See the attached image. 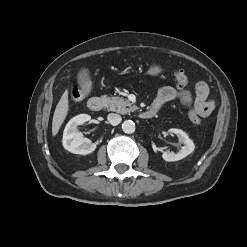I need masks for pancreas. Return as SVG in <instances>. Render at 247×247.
Segmentation results:
<instances>
[{"instance_id": "pancreas-1", "label": "pancreas", "mask_w": 247, "mask_h": 247, "mask_svg": "<svg viewBox=\"0 0 247 247\" xmlns=\"http://www.w3.org/2000/svg\"><path fill=\"white\" fill-rule=\"evenodd\" d=\"M108 110L115 111L120 114H127L137 110L135 105H132L127 99L122 97H108Z\"/></svg>"}]
</instances>
